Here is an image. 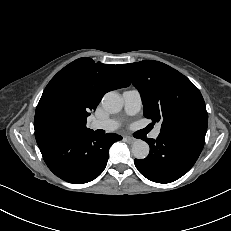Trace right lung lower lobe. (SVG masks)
<instances>
[{"label":"right lung lower lobe","instance_id":"right-lung-lower-lobe-1","mask_svg":"<svg viewBox=\"0 0 231 231\" xmlns=\"http://www.w3.org/2000/svg\"><path fill=\"white\" fill-rule=\"evenodd\" d=\"M122 137L107 133L98 136L89 131L79 136H64L39 146L49 169L59 178L73 184L94 180L106 167L110 146Z\"/></svg>","mask_w":231,"mask_h":231}]
</instances>
